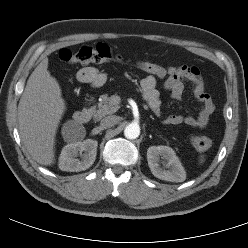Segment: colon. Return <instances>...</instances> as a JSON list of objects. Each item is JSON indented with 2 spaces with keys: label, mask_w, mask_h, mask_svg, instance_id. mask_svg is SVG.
I'll return each mask as SVG.
<instances>
[{
  "label": "colon",
  "mask_w": 248,
  "mask_h": 248,
  "mask_svg": "<svg viewBox=\"0 0 248 248\" xmlns=\"http://www.w3.org/2000/svg\"><path fill=\"white\" fill-rule=\"evenodd\" d=\"M59 58L68 65H89L108 61L130 63L144 73L157 76L161 79L166 78L168 72L167 67L159 63L146 60L128 61L122 55L115 53L113 49L105 43H98L95 46H83L75 51L64 48L60 50ZM191 141L194 147L201 151L210 149L213 144L210 137L202 135L193 136Z\"/></svg>",
  "instance_id": "5ec220e1"
}]
</instances>
